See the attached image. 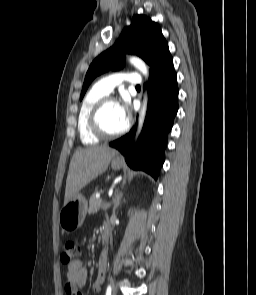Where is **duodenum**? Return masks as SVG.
<instances>
[{
  "mask_svg": "<svg viewBox=\"0 0 256 295\" xmlns=\"http://www.w3.org/2000/svg\"><path fill=\"white\" fill-rule=\"evenodd\" d=\"M108 235H109V233H108V228L105 227V228L103 229V232H102V238H103V240H104L105 242H107V240H108Z\"/></svg>",
  "mask_w": 256,
  "mask_h": 295,
  "instance_id": "1",
  "label": "duodenum"
}]
</instances>
